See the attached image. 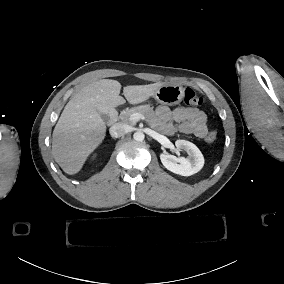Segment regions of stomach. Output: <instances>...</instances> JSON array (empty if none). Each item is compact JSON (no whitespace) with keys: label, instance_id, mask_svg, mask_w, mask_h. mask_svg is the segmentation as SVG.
<instances>
[{"label":"stomach","instance_id":"1","mask_svg":"<svg viewBox=\"0 0 284 284\" xmlns=\"http://www.w3.org/2000/svg\"><path fill=\"white\" fill-rule=\"evenodd\" d=\"M153 97L162 105H177L184 98V88L180 85L164 84L157 89Z\"/></svg>","mask_w":284,"mask_h":284}]
</instances>
